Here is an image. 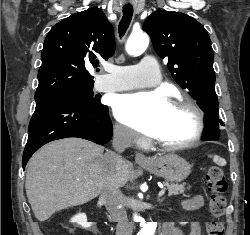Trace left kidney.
<instances>
[{
  "label": "left kidney",
  "instance_id": "obj_1",
  "mask_svg": "<svg viewBox=\"0 0 250 235\" xmlns=\"http://www.w3.org/2000/svg\"><path fill=\"white\" fill-rule=\"evenodd\" d=\"M182 225H185L186 223H181Z\"/></svg>",
  "mask_w": 250,
  "mask_h": 235
}]
</instances>
